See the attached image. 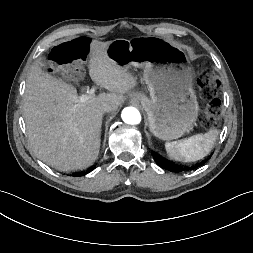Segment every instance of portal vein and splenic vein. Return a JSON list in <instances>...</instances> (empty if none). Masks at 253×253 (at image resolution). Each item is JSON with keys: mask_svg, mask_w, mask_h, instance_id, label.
Here are the masks:
<instances>
[{"mask_svg": "<svg viewBox=\"0 0 253 253\" xmlns=\"http://www.w3.org/2000/svg\"><path fill=\"white\" fill-rule=\"evenodd\" d=\"M94 93H95V90L91 89L88 94H82L81 96H79L78 101L81 103H85L93 98Z\"/></svg>", "mask_w": 253, "mask_h": 253, "instance_id": "1", "label": "portal vein and splenic vein"}]
</instances>
